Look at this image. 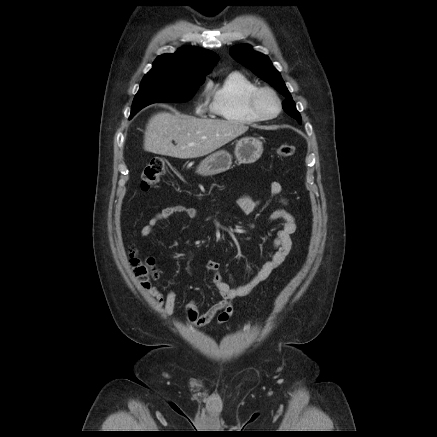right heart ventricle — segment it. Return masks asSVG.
<instances>
[{"label":"right heart ventricle","mask_w":437,"mask_h":437,"mask_svg":"<svg viewBox=\"0 0 437 437\" xmlns=\"http://www.w3.org/2000/svg\"><path fill=\"white\" fill-rule=\"evenodd\" d=\"M257 85L241 72H231L208 85L211 110L224 120L235 124H252L259 120L248 108V97Z\"/></svg>","instance_id":"right-heart-ventricle-1"}]
</instances>
